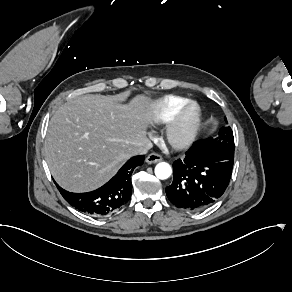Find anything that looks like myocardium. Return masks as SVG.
Here are the masks:
<instances>
[{
	"label": "myocardium",
	"instance_id": "1",
	"mask_svg": "<svg viewBox=\"0 0 292 292\" xmlns=\"http://www.w3.org/2000/svg\"><path fill=\"white\" fill-rule=\"evenodd\" d=\"M201 122V110L196 102L188 101L166 122L164 137L175 148H185L194 140Z\"/></svg>",
	"mask_w": 292,
	"mask_h": 292
}]
</instances>
